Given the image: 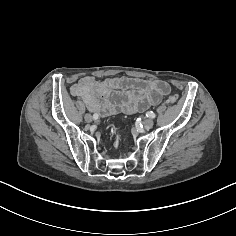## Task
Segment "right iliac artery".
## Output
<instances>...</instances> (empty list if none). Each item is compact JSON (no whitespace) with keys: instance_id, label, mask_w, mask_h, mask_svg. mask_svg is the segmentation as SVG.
I'll return each instance as SVG.
<instances>
[{"instance_id":"82829eb1","label":"right iliac artery","mask_w":236,"mask_h":236,"mask_svg":"<svg viewBox=\"0 0 236 236\" xmlns=\"http://www.w3.org/2000/svg\"><path fill=\"white\" fill-rule=\"evenodd\" d=\"M98 117H99V116H98L97 114H94V115H93V119H94V120H97Z\"/></svg>"}]
</instances>
